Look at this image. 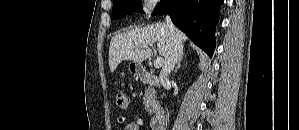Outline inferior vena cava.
<instances>
[{"label": "inferior vena cava", "instance_id": "obj_1", "mask_svg": "<svg viewBox=\"0 0 299 130\" xmlns=\"http://www.w3.org/2000/svg\"><path fill=\"white\" fill-rule=\"evenodd\" d=\"M165 22L170 34L171 49L165 59L164 66L162 67V70L160 72V80L162 83L167 82L168 75L170 74L175 64L181 59V56L183 54V45L179 36V32L173 25L168 15L165 18Z\"/></svg>", "mask_w": 299, "mask_h": 130}]
</instances>
